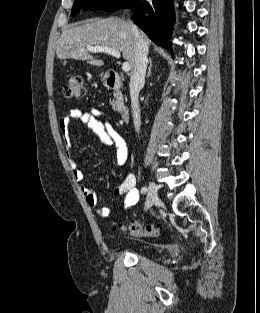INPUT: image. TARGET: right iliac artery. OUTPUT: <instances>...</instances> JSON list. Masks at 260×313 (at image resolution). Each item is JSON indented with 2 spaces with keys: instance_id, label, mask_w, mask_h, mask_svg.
Wrapping results in <instances>:
<instances>
[{
  "instance_id": "1",
  "label": "right iliac artery",
  "mask_w": 260,
  "mask_h": 313,
  "mask_svg": "<svg viewBox=\"0 0 260 313\" xmlns=\"http://www.w3.org/2000/svg\"><path fill=\"white\" fill-rule=\"evenodd\" d=\"M147 192V188L146 187H143L142 189H141V193L143 194V193H146Z\"/></svg>"
}]
</instances>
